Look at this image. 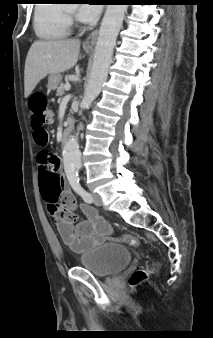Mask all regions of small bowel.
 <instances>
[{
    "label": "small bowel",
    "instance_id": "1",
    "mask_svg": "<svg viewBox=\"0 0 213 338\" xmlns=\"http://www.w3.org/2000/svg\"><path fill=\"white\" fill-rule=\"evenodd\" d=\"M46 159L47 167H57L59 159L46 152L43 153ZM43 171H40L39 178L41 187L47 190V184L43 178ZM56 174L57 185L60 186L64 192L63 204L64 214L57 217V229L63 239L64 243L69 248L79 254L91 250L93 247L104 243L110 239V227L108 223L98 215L96 209L86 203L80 205V210L85 216L84 219L76 218V220L68 221L65 215L68 213H75L77 203L75 196L69 191L68 184L62 173Z\"/></svg>",
    "mask_w": 213,
    "mask_h": 338
}]
</instances>
